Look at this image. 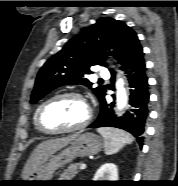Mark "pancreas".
Listing matches in <instances>:
<instances>
[{"label":"pancreas","mask_w":178,"mask_h":186,"mask_svg":"<svg viewBox=\"0 0 178 186\" xmlns=\"http://www.w3.org/2000/svg\"><path fill=\"white\" fill-rule=\"evenodd\" d=\"M81 163H76V164H72L69 165L67 167V169H65L59 176V180L63 181V180H70L74 177H76V175L79 173V167H80Z\"/></svg>","instance_id":"obj_1"}]
</instances>
